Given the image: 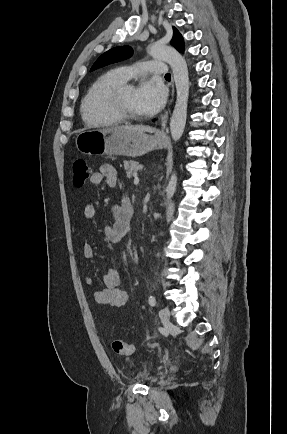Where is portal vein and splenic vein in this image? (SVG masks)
Returning a JSON list of instances; mask_svg holds the SVG:
<instances>
[{"label":"portal vein and splenic vein","instance_id":"obj_1","mask_svg":"<svg viewBox=\"0 0 287 434\" xmlns=\"http://www.w3.org/2000/svg\"><path fill=\"white\" fill-rule=\"evenodd\" d=\"M139 183V177L137 174L134 175V184L137 185Z\"/></svg>","mask_w":287,"mask_h":434}]
</instances>
